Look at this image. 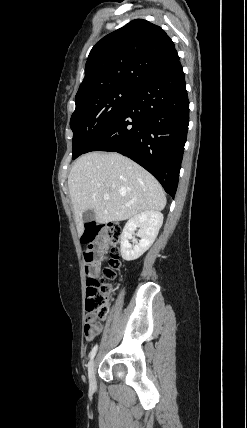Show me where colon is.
<instances>
[{"mask_svg": "<svg viewBox=\"0 0 247 428\" xmlns=\"http://www.w3.org/2000/svg\"><path fill=\"white\" fill-rule=\"evenodd\" d=\"M103 235L105 245L110 247L112 257L108 266L103 270V277L97 278L91 275L93 270L95 248L91 243H97V235ZM80 243H89L84 251L86 272L89 274L87 299H86V324L85 335H91L96 331L98 320H104L109 312V298L113 287L108 282L116 278V269L119 267L118 252L121 240V228L118 225L107 224L99 227L88 228L86 234H80Z\"/></svg>", "mask_w": 247, "mask_h": 428, "instance_id": "5ec220e1", "label": "colon"}]
</instances>
